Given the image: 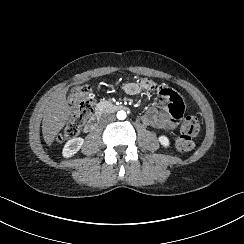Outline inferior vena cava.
Wrapping results in <instances>:
<instances>
[{
    "instance_id": "602c4592",
    "label": "inferior vena cava",
    "mask_w": 244,
    "mask_h": 244,
    "mask_svg": "<svg viewBox=\"0 0 244 244\" xmlns=\"http://www.w3.org/2000/svg\"><path fill=\"white\" fill-rule=\"evenodd\" d=\"M104 119H106V121H108V122H111V121H115L116 117H115V115L107 114L104 116Z\"/></svg>"
}]
</instances>
